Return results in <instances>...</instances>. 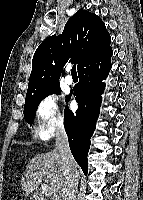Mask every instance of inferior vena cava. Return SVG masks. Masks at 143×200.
Wrapping results in <instances>:
<instances>
[{
    "instance_id": "obj_1",
    "label": "inferior vena cava",
    "mask_w": 143,
    "mask_h": 200,
    "mask_svg": "<svg viewBox=\"0 0 143 200\" xmlns=\"http://www.w3.org/2000/svg\"><path fill=\"white\" fill-rule=\"evenodd\" d=\"M55 149L59 152L62 165L65 170V181L62 188L61 200H76L78 187V172L75 160L71 154L68 137L63 122H60L56 130Z\"/></svg>"
}]
</instances>
